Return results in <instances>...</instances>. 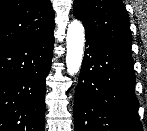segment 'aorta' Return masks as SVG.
Segmentation results:
<instances>
[{
  "label": "aorta",
  "instance_id": "762f6f07",
  "mask_svg": "<svg viewBox=\"0 0 147 131\" xmlns=\"http://www.w3.org/2000/svg\"><path fill=\"white\" fill-rule=\"evenodd\" d=\"M66 67L69 75H75L82 64L85 33L82 23L74 20L69 23L66 36Z\"/></svg>",
  "mask_w": 147,
  "mask_h": 131
}]
</instances>
